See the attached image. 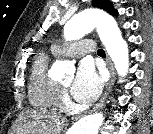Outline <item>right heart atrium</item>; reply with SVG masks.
I'll return each mask as SVG.
<instances>
[{"label": "right heart atrium", "mask_w": 153, "mask_h": 134, "mask_svg": "<svg viewBox=\"0 0 153 134\" xmlns=\"http://www.w3.org/2000/svg\"><path fill=\"white\" fill-rule=\"evenodd\" d=\"M63 104H67V97L65 93H63Z\"/></svg>", "instance_id": "obj_1"}]
</instances>
